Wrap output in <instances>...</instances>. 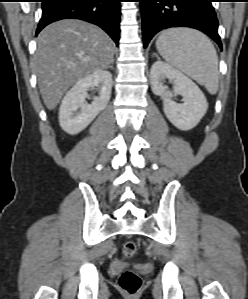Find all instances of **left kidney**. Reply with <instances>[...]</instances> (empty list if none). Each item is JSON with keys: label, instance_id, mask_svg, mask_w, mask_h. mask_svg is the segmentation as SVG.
Segmentation results:
<instances>
[{"label": "left kidney", "instance_id": "obj_1", "mask_svg": "<svg viewBox=\"0 0 248 299\" xmlns=\"http://www.w3.org/2000/svg\"><path fill=\"white\" fill-rule=\"evenodd\" d=\"M151 89L163 98V111L168 120L178 129L194 128L205 115L208 103L200 88L186 75L162 61L151 67ZM166 79L173 84V91L164 85ZM173 95L183 96V103L172 100Z\"/></svg>", "mask_w": 248, "mask_h": 299}]
</instances>
